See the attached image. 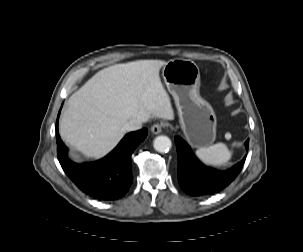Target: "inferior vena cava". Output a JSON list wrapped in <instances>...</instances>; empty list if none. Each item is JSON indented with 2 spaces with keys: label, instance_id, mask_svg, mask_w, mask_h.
Segmentation results:
<instances>
[{
  "label": "inferior vena cava",
  "instance_id": "1",
  "mask_svg": "<svg viewBox=\"0 0 303 252\" xmlns=\"http://www.w3.org/2000/svg\"><path fill=\"white\" fill-rule=\"evenodd\" d=\"M142 128V121L133 119L127 122L124 126V131H136Z\"/></svg>",
  "mask_w": 303,
  "mask_h": 252
}]
</instances>
